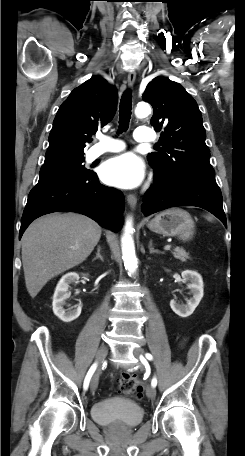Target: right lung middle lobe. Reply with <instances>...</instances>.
<instances>
[{"label": "right lung middle lobe", "instance_id": "obj_1", "mask_svg": "<svg viewBox=\"0 0 245 456\" xmlns=\"http://www.w3.org/2000/svg\"><path fill=\"white\" fill-rule=\"evenodd\" d=\"M84 158L41 168L38 184L53 183L68 179L87 177L92 171L85 168Z\"/></svg>", "mask_w": 245, "mask_h": 456}]
</instances>
